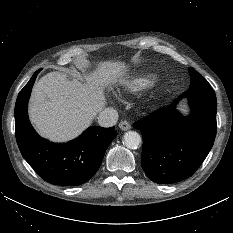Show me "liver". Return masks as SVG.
I'll return each mask as SVG.
<instances>
[{"label":"liver","instance_id":"obj_1","mask_svg":"<svg viewBox=\"0 0 233 233\" xmlns=\"http://www.w3.org/2000/svg\"><path fill=\"white\" fill-rule=\"evenodd\" d=\"M97 65L85 76L86 83L68 80L65 74L55 71L35 84L29 116L41 136L54 142L76 138L105 107L104 87L117 82L127 84L124 63L105 61Z\"/></svg>","mask_w":233,"mask_h":233}]
</instances>
